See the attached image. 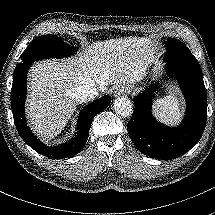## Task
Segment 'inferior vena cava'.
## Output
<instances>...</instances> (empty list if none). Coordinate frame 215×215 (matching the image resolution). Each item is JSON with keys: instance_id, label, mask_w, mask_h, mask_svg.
I'll list each match as a JSON object with an SVG mask.
<instances>
[{"instance_id": "1", "label": "inferior vena cava", "mask_w": 215, "mask_h": 215, "mask_svg": "<svg viewBox=\"0 0 215 215\" xmlns=\"http://www.w3.org/2000/svg\"><path fill=\"white\" fill-rule=\"evenodd\" d=\"M98 95H99V90L94 85V83H86L84 85L79 86L74 91V98L79 102H85L87 100H91Z\"/></svg>"}]
</instances>
